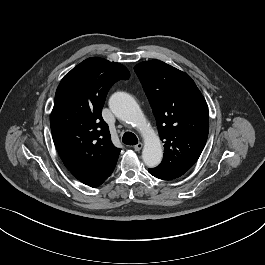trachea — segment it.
I'll return each instance as SVG.
<instances>
[{"mask_svg":"<svg viewBox=\"0 0 265 265\" xmlns=\"http://www.w3.org/2000/svg\"><path fill=\"white\" fill-rule=\"evenodd\" d=\"M122 142L126 145H136L138 143V138L132 132H126L122 137Z\"/></svg>","mask_w":265,"mask_h":265,"instance_id":"trachea-1","label":"trachea"}]
</instances>
